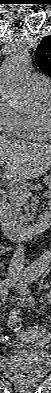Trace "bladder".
<instances>
[{
	"label": "bladder",
	"instance_id": "bladder-1",
	"mask_svg": "<svg viewBox=\"0 0 51 393\" xmlns=\"http://www.w3.org/2000/svg\"><path fill=\"white\" fill-rule=\"evenodd\" d=\"M3 366L9 372V380L24 385L36 383L51 372L48 354L38 349H19L3 361Z\"/></svg>",
	"mask_w": 51,
	"mask_h": 393
}]
</instances>
